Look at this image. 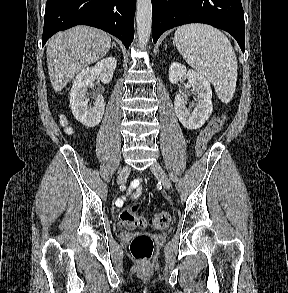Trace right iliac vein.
I'll list each match as a JSON object with an SVG mask.
<instances>
[{"label":"right iliac vein","mask_w":288,"mask_h":293,"mask_svg":"<svg viewBox=\"0 0 288 293\" xmlns=\"http://www.w3.org/2000/svg\"><path fill=\"white\" fill-rule=\"evenodd\" d=\"M129 174H130V167L126 165V166H124V167L122 168V170L120 171L119 176H118V178H117V183H118V184H121V183H123L124 181H126L127 178H128V176H129Z\"/></svg>","instance_id":"63e3f726"}]
</instances>
